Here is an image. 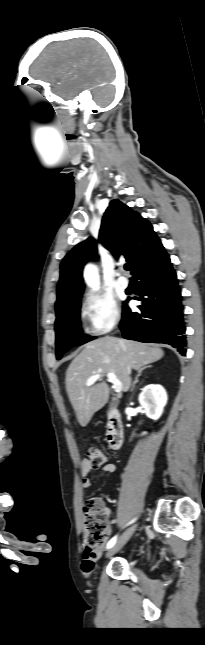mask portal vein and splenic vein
Wrapping results in <instances>:
<instances>
[{"instance_id": "obj_1", "label": "portal vein and splenic vein", "mask_w": 205, "mask_h": 645, "mask_svg": "<svg viewBox=\"0 0 205 645\" xmlns=\"http://www.w3.org/2000/svg\"><path fill=\"white\" fill-rule=\"evenodd\" d=\"M108 381L113 384V389L116 393H120L122 391V383L117 379L116 375L113 373H108L107 375ZM101 377L100 374H95L91 376L87 382V386H92L99 378Z\"/></svg>"}]
</instances>
